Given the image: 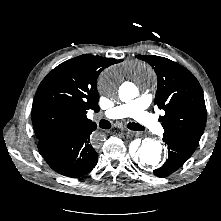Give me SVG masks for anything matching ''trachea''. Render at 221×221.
Here are the masks:
<instances>
[{
	"label": "trachea",
	"instance_id": "obj_1",
	"mask_svg": "<svg viewBox=\"0 0 221 221\" xmlns=\"http://www.w3.org/2000/svg\"><path fill=\"white\" fill-rule=\"evenodd\" d=\"M99 127L102 128V129H109L111 127V123L107 120H100L99 122ZM127 127L131 130H134V131H142L144 130V127L138 123H128L127 124Z\"/></svg>",
	"mask_w": 221,
	"mask_h": 221
}]
</instances>
